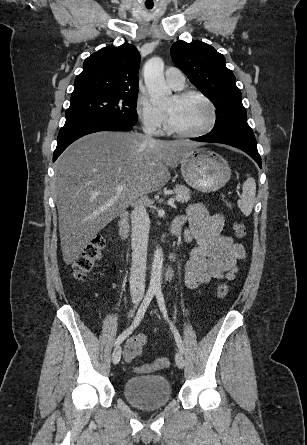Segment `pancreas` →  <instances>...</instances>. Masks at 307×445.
I'll list each match as a JSON object with an SVG mask.
<instances>
[{
	"mask_svg": "<svg viewBox=\"0 0 307 445\" xmlns=\"http://www.w3.org/2000/svg\"><path fill=\"white\" fill-rule=\"evenodd\" d=\"M174 190L180 194V196H176L178 202H186V200H189L191 192L184 184H176Z\"/></svg>",
	"mask_w": 307,
	"mask_h": 445,
	"instance_id": "1",
	"label": "pancreas"
}]
</instances>
